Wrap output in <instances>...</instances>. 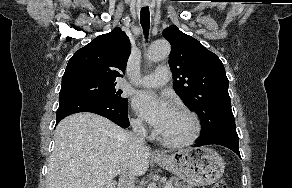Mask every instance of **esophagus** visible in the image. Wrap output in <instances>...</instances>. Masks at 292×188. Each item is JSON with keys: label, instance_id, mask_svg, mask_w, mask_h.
I'll use <instances>...</instances> for the list:
<instances>
[{"label": "esophagus", "instance_id": "obj_1", "mask_svg": "<svg viewBox=\"0 0 292 188\" xmlns=\"http://www.w3.org/2000/svg\"><path fill=\"white\" fill-rule=\"evenodd\" d=\"M145 5H147V4H145ZM152 155L155 156V157H163L164 156V154L162 152L158 151V150H154L152 152Z\"/></svg>", "mask_w": 292, "mask_h": 188}]
</instances>
